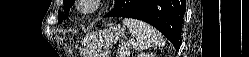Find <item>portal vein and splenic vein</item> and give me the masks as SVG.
I'll return each mask as SVG.
<instances>
[{
  "mask_svg": "<svg viewBox=\"0 0 249 57\" xmlns=\"http://www.w3.org/2000/svg\"><path fill=\"white\" fill-rule=\"evenodd\" d=\"M132 43H133V41H129V43L125 44V45L121 48V51H120V56H121V57H123V56L126 55V52H125L126 46H130Z\"/></svg>",
  "mask_w": 249,
  "mask_h": 57,
  "instance_id": "portal-vein-and-splenic-vein-1",
  "label": "portal vein and splenic vein"
}]
</instances>
